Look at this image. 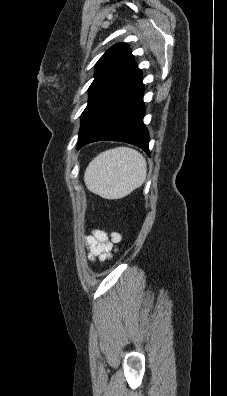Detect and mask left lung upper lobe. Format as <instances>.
Returning a JSON list of instances; mask_svg holds the SVG:
<instances>
[{
    "mask_svg": "<svg viewBox=\"0 0 227 396\" xmlns=\"http://www.w3.org/2000/svg\"><path fill=\"white\" fill-rule=\"evenodd\" d=\"M137 69L126 43L116 44L104 53L95 67V79L89 88L90 98L81 116L80 131L95 106Z\"/></svg>",
    "mask_w": 227,
    "mask_h": 396,
    "instance_id": "left-lung-upper-lobe-1",
    "label": "left lung upper lobe"
}]
</instances>
